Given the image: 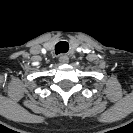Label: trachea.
Returning <instances> with one entry per match:
<instances>
[{
    "label": "trachea",
    "mask_w": 133,
    "mask_h": 133,
    "mask_svg": "<svg viewBox=\"0 0 133 133\" xmlns=\"http://www.w3.org/2000/svg\"><path fill=\"white\" fill-rule=\"evenodd\" d=\"M69 45L66 41H60L55 45V53L58 54H64L68 51Z\"/></svg>",
    "instance_id": "3493384b"
}]
</instances>
